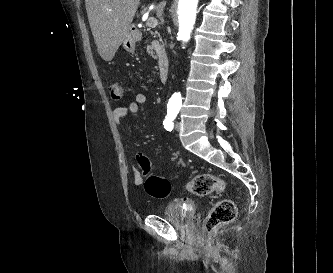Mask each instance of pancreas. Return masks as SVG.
<instances>
[{
    "label": "pancreas",
    "mask_w": 333,
    "mask_h": 273,
    "mask_svg": "<svg viewBox=\"0 0 333 273\" xmlns=\"http://www.w3.org/2000/svg\"><path fill=\"white\" fill-rule=\"evenodd\" d=\"M155 51L157 53L164 51L163 45H161L157 40H153L151 45L148 46V53L151 54L154 59L157 58Z\"/></svg>",
    "instance_id": "obj_1"
}]
</instances>
